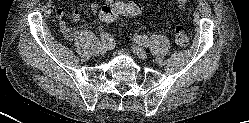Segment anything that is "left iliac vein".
I'll list each match as a JSON object with an SVG mask.
<instances>
[{"label":"left iliac vein","mask_w":249,"mask_h":123,"mask_svg":"<svg viewBox=\"0 0 249 123\" xmlns=\"http://www.w3.org/2000/svg\"><path fill=\"white\" fill-rule=\"evenodd\" d=\"M135 42H136V44H139L138 41H137V39H135ZM133 51H134V53H135L140 59H143V60L147 59V53H146V51H145L144 49H142L141 47H139V46H134V47H133Z\"/></svg>","instance_id":"4c4485c4"}]
</instances>
